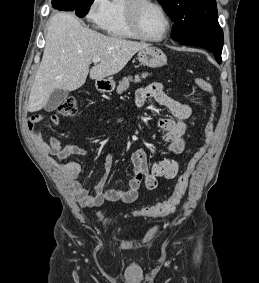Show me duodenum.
I'll return each mask as SVG.
<instances>
[{
    "label": "duodenum",
    "instance_id": "1",
    "mask_svg": "<svg viewBox=\"0 0 259 283\" xmlns=\"http://www.w3.org/2000/svg\"><path fill=\"white\" fill-rule=\"evenodd\" d=\"M99 88H100L102 91H105V90H107V89H108V87H107V86L102 85V84H100V85H99Z\"/></svg>",
    "mask_w": 259,
    "mask_h": 283
}]
</instances>
